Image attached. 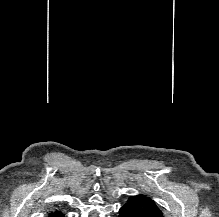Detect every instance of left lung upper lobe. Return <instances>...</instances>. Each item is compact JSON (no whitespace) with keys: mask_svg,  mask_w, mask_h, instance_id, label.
<instances>
[{"mask_svg":"<svg viewBox=\"0 0 219 217\" xmlns=\"http://www.w3.org/2000/svg\"><path fill=\"white\" fill-rule=\"evenodd\" d=\"M128 202H132L149 217H163V214L156 203L146 195L131 196Z\"/></svg>","mask_w":219,"mask_h":217,"instance_id":"left-lung-upper-lobe-1","label":"left lung upper lobe"}]
</instances>
